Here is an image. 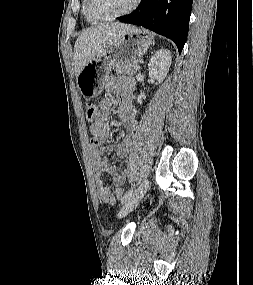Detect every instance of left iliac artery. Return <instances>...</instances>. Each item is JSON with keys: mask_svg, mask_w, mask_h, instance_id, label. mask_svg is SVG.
Returning a JSON list of instances; mask_svg holds the SVG:
<instances>
[{"mask_svg": "<svg viewBox=\"0 0 253 285\" xmlns=\"http://www.w3.org/2000/svg\"><path fill=\"white\" fill-rule=\"evenodd\" d=\"M132 194H133V188L129 189V190L125 193V195L123 196L121 202H122V203H125V202L132 196Z\"/></svg>", "mask_w": 253, "mask_h": 285, "instance_id": "1", "label": "left iliac artery"}]
</instances>
